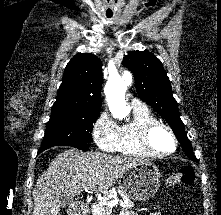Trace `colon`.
I'll use <instances>...</instances> for the list:
<instances>
[{"instance_id":"colon-1","label":"colon","mask_w":221,"mask_h":215,"mask_svg":"<svg viewBox=\"0 0 221 215\" xmlns=\"http://www.w3.org/2000/svg\"><path fill=\"white\" fill-rule=\"evenodd\" d=\"M198 179V174L192 166H185L181 168L177 173L172 175L169 180V185H191L194 184Z\"/></svg>"}]
</instances>
